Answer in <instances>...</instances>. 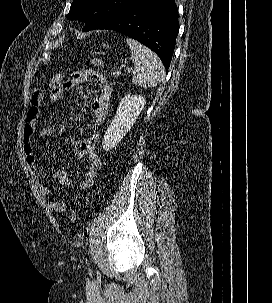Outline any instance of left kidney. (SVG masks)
I'll return each mask as SVG.
<instances>
[{"mask_svg": "<svg viewBox=\"0 0 272 303\" xmlns=\"http://www.w3.org/2000/svg\"><path fill=\"white\" fill-rule=\"evenodd\" d=\"M146 100L141 95L128 93L119 103L116 114L110 123L103 139V149L109 151L117 146L135 124L143 110Z\"/></svg>", "mask_w": 272, "mask_h": 303, "instance_id": "left-kidney-1", "label": "left kidney"}]
</instances>
